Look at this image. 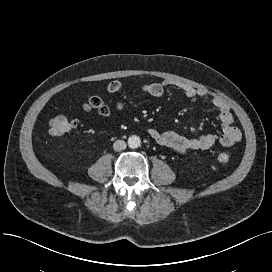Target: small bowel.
Masks as SVG:
<instances>
[{
    "mask_svg": "<svg viewBox=\"0 0 272 272\" xmlns=\"http://www.w3.org/2000/svg\"><path fill=\"white\" fill-rule=\"evenodd\" d=\"M122 87V82L115 80L108 84L106 90L109 93H116ZM167 87H174L181 90L191 101L209 97L208 91L196 89L189 84L175 80L146 82L139 85L138 89L148 96L160 97ZM211 102L219 111V121L222 125L221 133H208L197 138H187L172 131L160 132L153 127L147 128V133L158 145L177 154H187L194 150H206L215 144L230 147L239 142L242 138V133L235 126V119L229 104L219 96L212 97ZM117 109L122 110L123 104L118 103Z\"/></svg>",
    "mask_w": 272,
    "mask_h": 272,
    "instance_id": "c3829d8e",
    "label": "small bowel"
}]
</instances>
